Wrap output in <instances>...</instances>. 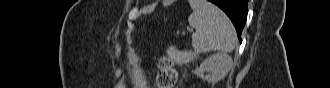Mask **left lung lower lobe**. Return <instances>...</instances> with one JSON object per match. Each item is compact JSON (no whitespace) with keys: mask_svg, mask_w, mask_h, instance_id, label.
Listing matches in <instances>:
<instances>
[{"mask_svg":"<svg viewBox=\"0 0 330 88\" xmlns=\"http://www.w3.org/2000/svg\"><path fill=\"white\" fill-rule=\"evenodd\" d=\"M221 8L234 24L239 41L241 42V33L244 28L247 17L248 0H209Z\"/></svg>","mask_w":330,"mask_h":88,"instance_id":"obj_1","label":"left lung lower lobe"}]
</instances>
